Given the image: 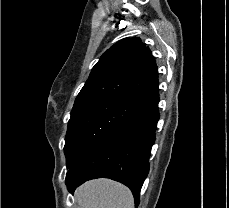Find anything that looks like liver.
<instances>
[{"mask_svg": "<svg viewBox=\"0 0 229 208\" xmlns=\"http://www.w3.org/2000/svg\"><path fill=\"white\" fill-rule=\"evenodd\" d=\"M81 208H134L133 196L126 186L112 180H91L75 192Z\"/></svg>", "mask_w": 229, "mask_h": 208, "instance_id": "1", "label": "liver"}]
</instances>
